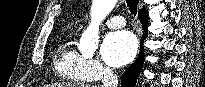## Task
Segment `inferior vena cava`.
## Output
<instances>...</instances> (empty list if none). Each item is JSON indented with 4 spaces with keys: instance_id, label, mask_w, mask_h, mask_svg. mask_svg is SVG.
Listing matches in <instances>:
<instances>
[{
    "instance_id": "inferior-vena-cava-1",
    "label": "inferior vena cava",
    "mask_w": 205,
    "mask_h": 87,
    "mask_svg": "<svg viewBox=\"0 0 205 87\" xmlns=\"http://www.w3.org/2000/svg\"><path fill=\"white\" fill-rule=\"evenodd\" d=\"M102 82L104 87H117L118 77L113 73L112 69L106 68L102 73Z\"/></svg>"
}]
</instances>
